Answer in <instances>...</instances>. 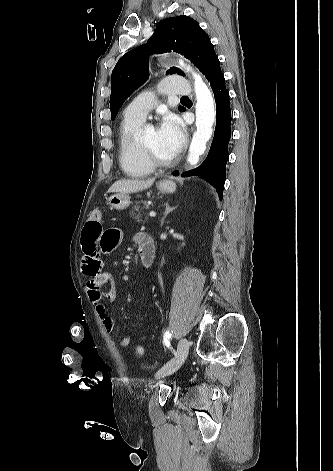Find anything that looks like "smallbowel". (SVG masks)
<instances>
[{"label": "small bowel", "instance_id": "obj_1", "mask_svg": "<svg viewBox=\"0 0 333 471\" xmlns=\"http://www.w3.org/2000/svg\"><path fill=\"white\" fill-rule=\"evenodd\" d=\"M146 238L148 237L145 234H137L134 237V241L140 247ZM122 239L123 233L119 229L111 228L103 230L100 219L98 221L88 219L84 225L81 237L83 250L81 269L89 277L86 284L87 296L89 301L95 306L104 328L109 332L115 329V323L108 315L103 301L114 300L115 288L112 273L103 269L102 254L115 249ZM104 285H108L107 290L103 289ZM130 343V336H124L120 340L122 347H127Z\"/></svg>", "mask_w": 333, "mask_h": 471}]
</instances>
